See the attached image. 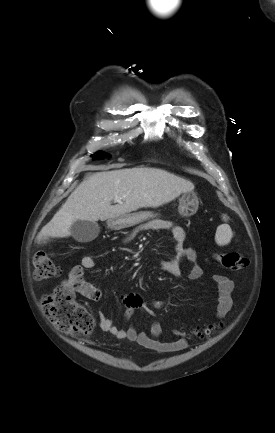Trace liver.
Wrapping results in <instances>:
<instances>
[{
	"label": "liver",
	"mask_w": 275,
	"mask_h": 433,
	"mask_svg": "<svg viewBox=\"0 0 275 433\" xmlns=\"http://www.w3.org/2000/svg\"><path fill=\"white\" fill-rule=\"evenodd\" d=\"M192 190V182L162 169L135 167L97 172L72 192L36 240L68 237L77 220L105 221L139 208L158 207ZM115 197H120L121 203L111 205Z\"/></svg>",
	"instance_id": "obj_1"
}]
</instances>
